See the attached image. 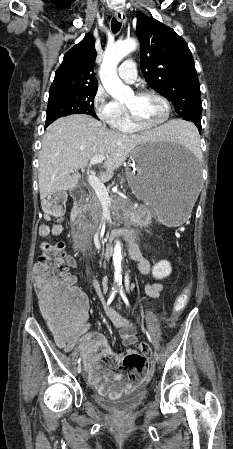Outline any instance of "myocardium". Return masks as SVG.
Instances as JSON below:
<instances>
[{"instance_id": "myocardium-1", "label": "myocardium", "mask_w": 233, "mask_h": 449, "mask_svg": "<svg viewBox=\"0 0 233 449\" xmlns=\"http://www.w3.org/2000/svg\"><path fill=\"white\" fill-rule=\"evenodd\" d=\"M134 94L137 97L147 96V95L154 96V97L158 98L160 101H162L165 106L164 117L159 122L149 124V123H145V122L141 121L130 106L124 105V108L128 114L129 119L135 126L139 127L140 129H155V128H158V127L164 125L168 121L170 114H171V104L162 94H160L159 92H156L154 90H141V91L135 92Z\"/></svg>"}]
</instances>
